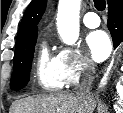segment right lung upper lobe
<instances>
[{"label": "right lung upper lobe", "mask_w": 123, "mask_h": 113, "mask_svg": "<svg viewBox=\"0 0 123 113\" xmlns=\"http://www.w3.org/2000/svg\"><path fill=\"white\" fill-rule=\"evenodd\" d=\"M109 1V0H107ZM47 0H32L27 7L22 21L19 26V31L16 40V47L22 43L37 36L39 23L44 11L46 9ZM15 47V48H16Z\"/></svg>", "instance_id": "cb5924a9"}]
</instances>
